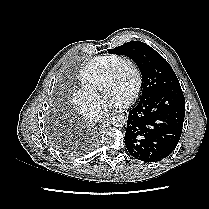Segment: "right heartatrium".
Here are the masks:
<instances>
[{"label":"right heart atrium","mask_w":209,"mask_h":209,"mask_svg":"<svg viewBox=\"0 0 209 209\" xmlns=\"http://www.w3.org/2000/svg\"><path fill=\"white\" fill-rule=\"evenodd\" d=\"M71 101L76 109L89 119H100L104 111V101L94 91L79 87L72 91Z\"/></svg>","instance_id":"1"}]
</instances>
